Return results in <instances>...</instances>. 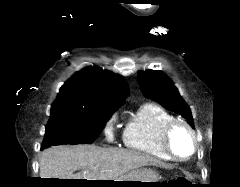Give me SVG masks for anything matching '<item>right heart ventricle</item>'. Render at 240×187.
Segmentation results:
<instances>
[{
	"label": "right heart ventricle",
	"instance_id": "1",
	"mask_svg": "<svg viewBox=\"0 0 240 187\" xmlns=\"http://www.w3.org/2000/svg\"><path fill=\"white\" fill-rule=\"evenodd\" d=\"M174 117L154 103L143 104L123 131L125 147L161 159L172 160L162 144L164 126Z\"/></svg>",
	"mask_w": 240,
	"mask_h": 187
}]
</instances>
